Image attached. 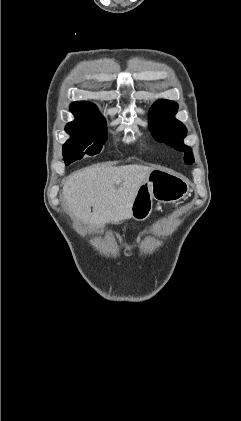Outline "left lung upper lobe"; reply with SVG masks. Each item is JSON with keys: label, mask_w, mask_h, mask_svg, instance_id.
Wrapping results in <instances>:
<instances>
[{"label": "left lung upper lobe", "mask_w": 241, "mask_h": 421, "mask_svg": "<svg viewBox=\"0 0 241 421\" xmlns=\"http://www.w3.org/2000/svg\"><path fill=\"white\" fill-rule=\"evenodd\" d=\"M177 109V103L172 101L160 100L154 103L150 108L149 128L153 131L155 140L185 152V163L192 164L194 162L192 150L183 143L187 129L182 122L174 118Z\"/></svg>", "instance_id": "1"}]
</instances>
